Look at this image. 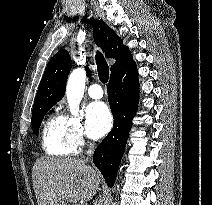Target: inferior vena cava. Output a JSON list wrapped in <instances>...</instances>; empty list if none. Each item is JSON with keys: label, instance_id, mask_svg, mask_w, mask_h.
I'll return each mask as SVG.
<instances>
[{"label": "inferior vena cava", "instance_id": "obj_1", "mask_svg": "<svg viewBox=\"0 0 212 205\" xmlns=\"http://www.w3.org/2000/svg\"><path fill=\"white\" fill-rule=\"evenodd\" d=\"M93 152H94V144H93V143H89V149H88V151H87V155H88V156H87V158H86V161L89 160V157L92 156ZM94 205H101V204H100V201H96Z\"/></svg>", "mask_w": 212, "mask_h": 205}]
</instances>
